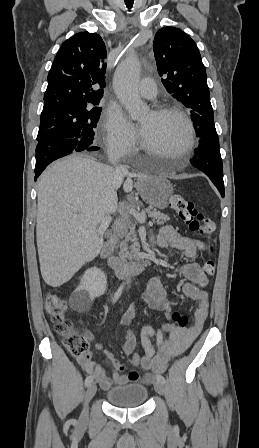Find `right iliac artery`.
I'll return each instance as SVG.
<instances>
[{"label":"right iliac artery","instance_id":"obj_1","mask_svg":"<svg viewBox=\"0 0 259 448\" xmlns=\"http://www.w3.org/2000/svg\"><path fill=\"white\" fill-rule=\"evenodd\" d=\"M122 290H123V286H120V287L118 288V290L116 291L114 297H113V302H116V301L118 300V298L120 297V295H121V293H122ZM92 382H93V377H92V376H88V377L85 379V385H86V386H89Z\"/></svg>","mask_w":259,"mask_h":448}]
</instances>
